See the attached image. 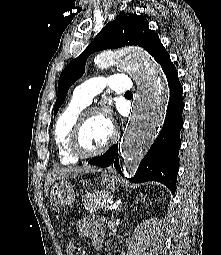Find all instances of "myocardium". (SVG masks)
<instances>
[{
  "label": "myocardium",
  "mask_w": 221,
  "mask_h": 255,
  "mask_svg": "<svg viewBox=\"0 0 221 255\" xmlns=\"http://www.w3.org/2000/svg\"><path fill=\"white\" fill-rule=\"evenodd\" d=\"M91 115H100L106 118L110 131L108 139L100 148L93 151H87L82 146V132L86 121ZM115 138L116 129L113 123L107 118L106 114L98 108H89L81 113L72 129L69 142L70 150L76 157L81 159L96 157L106 152L114 142Z\"/></svg>",
  "instance_id": "myocardium-1"
}]
</instances>
